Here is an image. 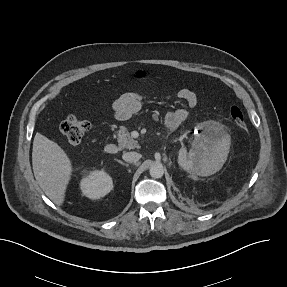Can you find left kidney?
<instances>
[{
    "mask_svg": "<svg viewBox=\"0 0 287 287\" xmlns=\"http://www.w3.org/2000/svg\"><path fill=\"white\" fill-rule=\"evenodd\" d=\"M203 128L204 131L196 137L190 152L185 147L179 150L178 163L189 173L210 176L225 163L230 138L219 125L206 124Z\"/></svg>",
    "mask_w": 287,
    "mask_h": 287,
    "instance_id": "5707ae66",
    "label": "left kidney"
}]
</instances>
